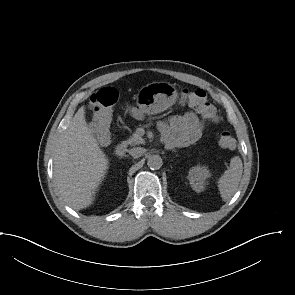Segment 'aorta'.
Segmentation results:
<instances>
[{
  "mask_svg": "<svg viewBox=\"0 0 295 295\" xmlns=\"http://www.w3.org/2000/svg\"><path fill=\"white\" fill-rule=\"evenodd\" d=\"M147 165L152 170H158L163 165L162 158L159 155H151L148 157Z\"/></svg>",
  "mask_w": 295,
  "mask_h": 295,
  "instance_id": "762f6f07",
  "label": "aorta"
}]
</instances>
